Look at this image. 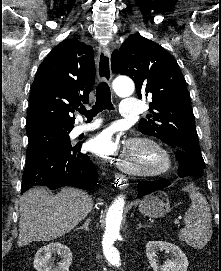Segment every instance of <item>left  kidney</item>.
<instances>
[{"mask_svg": "<svg viewBox=\"0 0 221 271\" xmlns=\"http://www.w3.org/2000/svg\"><path fill=\"white\" fill-rule=\"evenodd\" d=\"M159 249H165L166 253H169L171 257V259L164 261L162 265L157 263L156 259ZM146 255L151 267H153V271H187L188 259L184 251L175 243H169V241H147Z\"/></svg>", "mask_w": 221, "mask_h": 271, "instance_id": "5707ae66", "label": "left kidney"}]
</instances>
